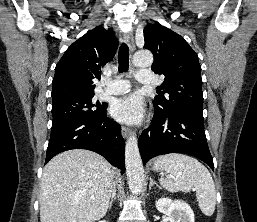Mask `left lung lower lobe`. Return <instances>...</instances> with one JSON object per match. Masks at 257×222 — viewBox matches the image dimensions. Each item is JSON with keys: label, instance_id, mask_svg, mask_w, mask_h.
<instances>
[{"label": "left lung lower lobe", "instance_id": "obj_1", "mask_svg": "<svg viewBox=\"0 0 257 222\" xmlns=\"http://www.w3.org/2000/svg\"><path fill=\"white\" fill-rule=\"evenodd\" d=\"M138 146L144 164L158 155L185 153L204 161L214 170L200 113L166 114L155 109L154 119L139 137Z\"/></svg>", "mask_w": 257, "mask_h": 222}]
</instances>
